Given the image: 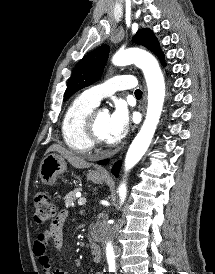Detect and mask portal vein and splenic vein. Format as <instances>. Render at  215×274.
<instances>
[{
  "label": "portal vein and splenic vein",
  "mask_w": 215,
  "mask_h": 274,
  "mask_svg": "<svg viewBox=\"0 0 215 274\" xmlns=\"http://www.w3.org/2000/svg\"><path fill=\"white\" fill-rule=\"evenodd\" d=\"M85 203H86V199L85 198H80L78 200V205H80V206L84 205Z\"/></svg>",
  "instance_id": "portal-vein-and-splenic-vein-1"
}]
</instances>
